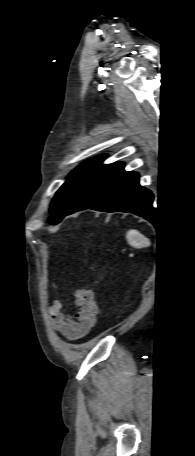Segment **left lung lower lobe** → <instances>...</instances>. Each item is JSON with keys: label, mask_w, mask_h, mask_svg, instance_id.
Segmentation results:
<instances>
[{"label": "left lung lower lobe", "mask_w": 195, "mask_h": 456, "mask_svg": "<svg viewBox=\"0 0 195 456\" xmlns=\"http://www.w3.org/2000/svg\"><path fill=\"white\" fill-rule=\"evenodd\" d=\"M152 202L153 194L140 186L139 175L126 172L124 164L119 163L105 184L76 211L129 212L150 220L154 213Z\"/></svg>", "instance_id": "left-lung-lower-lobe-1"}]
</instances>
